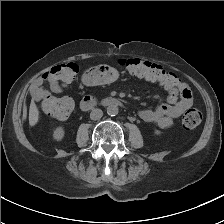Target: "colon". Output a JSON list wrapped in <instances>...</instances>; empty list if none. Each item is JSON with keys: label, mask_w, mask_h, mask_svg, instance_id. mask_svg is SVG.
<instances>
[{"label": "colon", "mask_w": 224, "mask_h": 224, "mask_svg": "<svg viewBox=\"0 0 224 224\" xmlns=\"http://www.w3.org/2000/svg\"><path fill=\"white\" fill-rule=\"evenodd\" d=\"M119 64L125 67L131 75L156 82L160 85H167L177 78L173 72L164 70L160 65L138 58L121 59L119 60ZM78 71L79 67L73 61L52 67V72L57 74L66 83L72 82ZM43 107L48 115L59 120H64L71 114L74 103L69 97H48L44 101ZM201 121L202 113L200 110L189 108L185 112L182 122L186 129H193L199 126Z\"/></svg>", "instance_id": "1"}]
</instances>
